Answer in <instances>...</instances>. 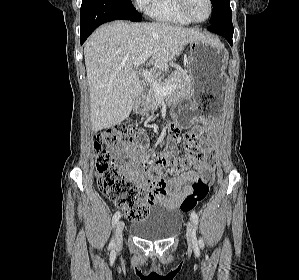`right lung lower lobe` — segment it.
Segmentation results:
<instances>
[{
  "instance_id": "right-lung-lower-lobe-1",
  "label": "right lung lower lobe",
  "mask_w": 299,
  "mask_h": 280,
  "mask_svg": "<svg viewBox=\"0 0 299 280\" xmlns=\"http://www.w3.org/2000/svg\"><path fill=\"white\" fill-rule=\"evenodd\" d=\"M80 14L81 44L103 23L117 19L133 22L142 20L119 0H82Z\"/></svg>"
}]
</instances>
